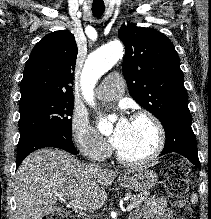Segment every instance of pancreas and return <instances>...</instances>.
Returning <instances> with one entry per match:
<instances>
[{
  "label": "pancreas",
  "instance_id": "1",
  "mask_svg": "<svg viewBox=\"0 0 211 219\" xmlns=\"http://www.w3.org/2000/svg\"><path fill=\"white\" fill-rule=\"evenodd\" d=\"M149 193L145 192L143 194H127V197L129 198L131 204L133 205V208L140 207L143 203L149 202Z\"/></svg>",
  "mask_w": 211,
  "mask_h": 219
}]
</instances>
